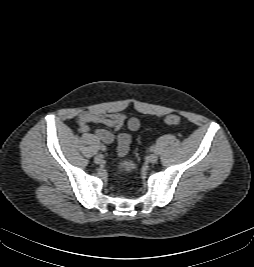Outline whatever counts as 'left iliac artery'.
Returning <instances> with one entry per match:
<instances>
[{"instance_id": "obj_1", "label": "left iliac artery", "mask_w": 254, "mask_h": 267, "mask_svg": "<svg viewBox=\"0 0 254 267\" xmlns=\"http://www.w3.org/2000/svg\"><path fill=\"white\" fill-rule=\"evenodd\" d=\"M150 151H155V147L154 146L150 147Z\"/></svg>"}]
</instances>
